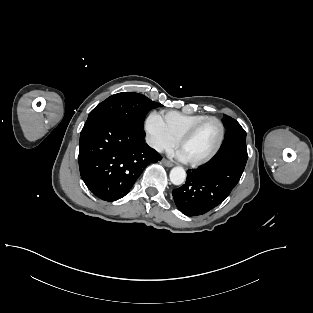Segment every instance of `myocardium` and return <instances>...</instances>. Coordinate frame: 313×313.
I'll return each mask as SVG.
<instances>
[{
    "mask_svg": "<svg viewBox=\"0 0 313 313\" xmlns=\"http://www.w3.org/2000/svg\"><path fill=\"white\" fill-rule=\"evenodd\" d=\"M209 121H215L219 125L220 133H219V138L218 141L214 147V149L205 157L198 159V160H187V163L192 165V166H200L203 164H206L210 160H212L217 153L219 152L223 141H224V136H225V127L221 119L215 116H208L205 119L199 121L198 123L194 124L192 127H190L188 130H186L176 141L177 147L180 148V146L189 140L205 123Z\"/></svg>",
    "mask_w": 313,
    "mask_h": 313,
    "instance_id": "obj_1",
    "label": "myocardium"
}]
</instances>
